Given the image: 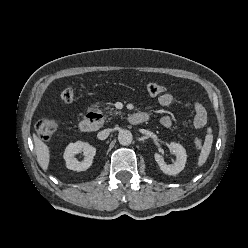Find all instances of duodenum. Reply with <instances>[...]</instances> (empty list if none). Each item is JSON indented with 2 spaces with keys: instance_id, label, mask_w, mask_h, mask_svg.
Segmentation results:
<instances>
[{
  "instance_id": "410a0bca",
  "label": "duodenum",
  "mask_w": 248,
  "mask_h": 248,
  "mask_svg": "<svg viewBox=\"0 0 248 248\" xmlns=\"http://www.w3.org/2000/svg\"><path fill=\"white\" fill-rule=\"evenodd\" d=\"M149 115L146 113H132L128 115L127 121L132 125H139L148 121ZM101 125L100 115L88 113L79 123L80 131L90 133L97 130Z\"/></svg>"
}]
</instances>
